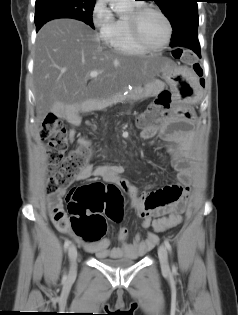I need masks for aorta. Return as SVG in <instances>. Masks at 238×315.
Masks as SVG:
<instances>
[{
    "mask_svg": "<svg viewBox=\"0 0 238 315\" xmlns=\"http://www.w3.org/2000/svg\"><path fill=\"white\" fill-rule=\"evenodd\" d=\"M114 12H125L127 10V0H107Z\"/></svg>",
    "mask_w": 238,
    "mask_h": 315,
    "instance_id": "aorta-1",
    "label": "aorta"
}]
</instances>
